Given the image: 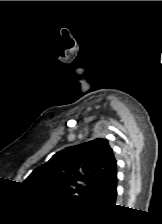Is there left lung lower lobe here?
I'll list each match as a JSON object with an SVG mask.
<instances>
[{
  "label": "left lung lower lobe",
  "mask_w": 162,
  "mask_h": 224,
  "mask_svg": "<svg viewBox=\"0 0 162 224\" xmlns=\"http://www.w3.org/2000/svg\"><path fill=\"white\" fill-rule=\"evenodd\" d=\"M117 171L112 173L100 188L87 196V199L94 202L113 205L116 200Z\"/></svg>",
  "instance_id": "left-lung-lower-lobe-1"
}]
</instances>
